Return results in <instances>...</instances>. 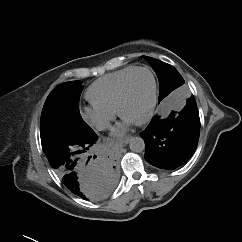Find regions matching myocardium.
<instances>
[{"instance_id":"1","label":"myocardium","mask_w":242,"mask_h":242,"mask_svg":"<svg viewBox=\"0 0 242 242\" xmlns=\"http://www.w3.org/2000/svg\"><path fill=\"white\" fill-rule=\"evenodd\" d=\"M142 71L150 74V76L152 78V82H153V92H152L151 102H150V105H149V108H148L146 115L143 118H141L140 120L134 122V124H136V125H143V124L149 122L154 115L155 108H156V105H157L158 82H157V78H156L155 73L150 68H148V67H137L131 73L128 74V76L125 78V80L123 81V83L121 85V88H120V91H119V94H118L117 105H116L117 114L120 117H123L122 112H121V108H122V105H123L125 98H126V95H127L130 80L132 79V77L136 73L142 72Z\"/></svg>"}]
</instances>
